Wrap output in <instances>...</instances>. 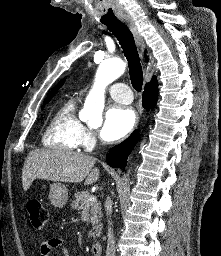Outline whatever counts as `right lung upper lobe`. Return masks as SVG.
Listing matches in <instances>:
<instances>
[{
	"label": "right lung upper lobe",
	"mask_w": 221,
	"mask_h": 256,
	"mask_svg": "<svg viewBox=\"0 0 221 256\" xmlns=\"http://www.w3.org/2000/svg\"><path fill=\"white\" fill-rule=\"evenodd\" d=\"M64 81H65V79L61 80L59 82V84L50 92V94L47 96V98L50 97L51 95H54L56 93L57 89L60 88L64 84ZM156 85H157V80L155 77H153L152 80L149 83H147L145 87L156 86Z\"/></svg>",
	"instance_id": "1"
}]
</instances>
